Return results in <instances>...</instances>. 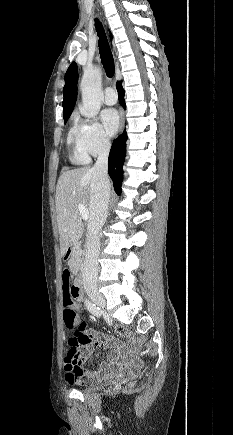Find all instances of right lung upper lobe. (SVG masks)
Segmentation results:
<instances>
[{"mask_svg": "<svg viewBox=\"0 0 233 435\" xmlns=\"http://www.w3.org/2000/svg\"><path fill=\"white\" fill-rule=\"evenodd\" d=\"M78 72L75 62L71 63L65 74V85L63 88V116H70L77 99Z\"/></svg>", "mask_w": 233, "mask_h": 435, "instance_id": "1", "label": "right lung upper lobe"}]
</instances>
